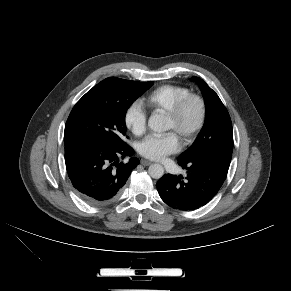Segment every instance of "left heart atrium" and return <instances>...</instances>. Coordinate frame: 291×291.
Wrapping results in <instances>:
<instances>
[{
  "label": "left heart atrium",
  "instance_id": "obj_1",
  "mask_svg": "<svg viewBox=\"0 0 291 291\" xmlns=\"http://www.w3.org/2000/svg\"><path fill=\"white\" fill-rule=\"evenodd\" d=\"M179 148V140L174 132L164 135H149L138 145V152L150 160H160Z\"/></svg>",
  "mask_w": 291,
  "mask_h": 291
}]
</instances>
